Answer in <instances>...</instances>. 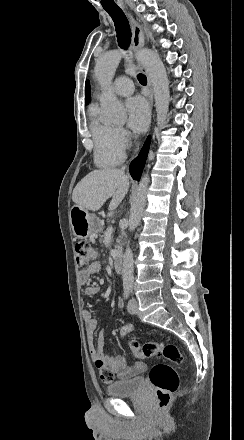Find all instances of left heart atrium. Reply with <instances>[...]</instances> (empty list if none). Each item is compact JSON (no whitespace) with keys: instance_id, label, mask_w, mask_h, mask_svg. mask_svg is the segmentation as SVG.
<instances>
[{"instance_id":"obj_1","label":"left heart atrium","mask_w":244,"mask_h":440,"mask_svg":"<svg viewBox=\"0 0 244 440\" xmlns=\"http://www.w3.org/2000/svg\"><path fill=\"white\" fill-rule=\"evenodd\" d=\"M128 125L136 132H142L146 129L150 111L147 103L141 97H134L127 101Z\"/></svg>"}]
</instances>
